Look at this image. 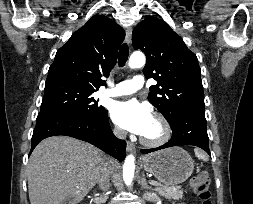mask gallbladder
<instances>
[{"mask_svg": "<svg viewBox=\"0 0 253 204\" xmlns=\"http://www.w3.org/2000/svg\"><path fill=\"white\" fill-rule=\"evenodd\" d=\"M65 202V204H73V199L67 198Z\"/></svg>", "mask_w": 253, "mask_h": 204, "instance_id": "1", "label": "gallbladder"}]
</instances>
